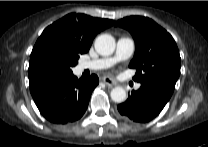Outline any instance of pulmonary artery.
I'll return each mask as SVG.
<instances>
[{
    "label": "pulmonary artery",
    "mask_w": 208,
    "mask_h": 147,
    "mask_svg": "<svg viewBox=\"0 0 208 147\" xmlns=\"http://www.w3.org/2000/svg\"><path fill=\"white\" fill-rule=\"evenodd\" d=\"M135 49L134 41L129 37H120L116 43V50L113 56L83 61L79 64L80 70H102L110 68L120 61L131 57ZM136 89L140 84L135 85Z\"/></svg>",
    "instance_id": "obj_1"
}]
</instances>
